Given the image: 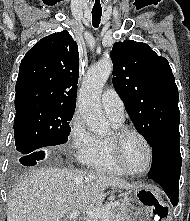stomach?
Listing matches in <instances>:
<instances>
[{"label":"stomach","mask_w":190,"mask_h":221,"mask_svg":"<svg viewBox=\"0 0 190 221\" xmlns=\"http://www.w3.org/2000/svg\"><path fill=\"white\" fill-rule=\"evenodd\" d=\"M134 200H129L127 213L130 217L147 218H123V221H169L170 212L163 202L156 188L150 185H139L131 189ZM161 217V218H150Z\"/></svg>","instance_id":"0dacf381"}]
</instances>
